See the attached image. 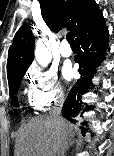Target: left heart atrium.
<instances>
[{
    "label": "left heart atrium",
    "mask_w": 114,
    "mask_h": 156,
    "mask_svg": "<svg viewBox=\"0 0 114 156\" xmlns=\"http://www.w3.org/2000/svg\"><path fill=\"white\" fill-rule=\"evenodd\" d=\"M74 72L73 70L71 69L70 66H65L64 69H63V75L64 77L67 79V80H70L71 77L73 76Z\"/></svg>",
    "instance_id": "obj_1"
}]
</instances>
